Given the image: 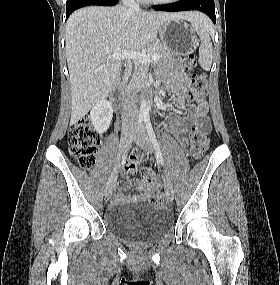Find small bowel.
Instances as JSON below:
<instances>
[{
    "label": "small bowel",
    "mask_w": 280,
    "mask_h": 285,
    "mask_svg": "<svg viewBox=\"0 0 280 285\" xmlns=\"http://www.w3.org/2000/svg\"><path fill=\"white\" fill-rule=\"evenodd\" d=\"M166 84L175 94L177 105L184 111L185 115H189L185 109L186 105V94L190 87V79L182 72V68L177 64L172 71V79L167 80ZM208 113V104L205 100L200 101L195 106V111L191 115L192 119L195 120L198 129L210 128V122L207 117ZM171 130L180 135L182 142H187L188 127L180 121H174L170 124ZM139 168V161L137 159H131L125 170L128 174H134ZM128 182V179H123L121 186H125ZM135 187L139 191L137 194L125 195L122 192H116L112 195L111 200L115 203H124V202H137L146 200L152 193H155L159 190V183L154 180L150 182H144L137 180L135 182Z\"/></svg>",
    "instance_id": "c3829d8e"
}]
</instances>
